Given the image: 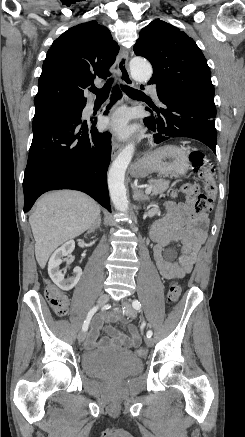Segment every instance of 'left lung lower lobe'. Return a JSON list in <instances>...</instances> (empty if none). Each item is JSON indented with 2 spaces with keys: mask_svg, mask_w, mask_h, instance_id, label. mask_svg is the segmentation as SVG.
<instances>
[{
  "mask_svg": "<svg viewBox=\"0 0 245 437\" xmlns=\"http://www.w3.org/2000/svg\"><path fill=\"white\" fill-rule=\"evenodd\" d=\"M157 95L162 107L151 106L157 114L144 119L155 133L156 143L172 137H189L203 142L216 153L215 104L197 95L161 86H157ZM146 110L152 112L149 108Z\"/></svg>",
  "mask_w": 245,
  "mask_h": 437,
  "instance_id": "left-lung-lower-lobe-1",
  "label": "left lung lower lobe"
}]
</instances>
